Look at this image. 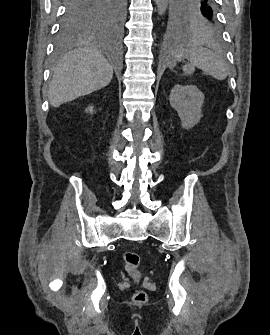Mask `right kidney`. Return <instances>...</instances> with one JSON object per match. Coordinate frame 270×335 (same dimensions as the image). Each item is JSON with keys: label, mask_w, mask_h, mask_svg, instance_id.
I'll use <instances>...</instances> for the list:
<instances>
[{"label": "right kidney", "mask_w": 270, "mask_h": 335, "mask_svg": "<svg viewBox=\"0 0 270 335\" xmlns=\"http://www.w3.org/2000/svg\"><path fill=\"white\" fill-rule=\"evenodd\" d=\"M87 112H89V114H93V106H89V108H87Z\"/></svg>", "instance_id": "1"}]
</instances>
